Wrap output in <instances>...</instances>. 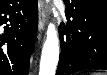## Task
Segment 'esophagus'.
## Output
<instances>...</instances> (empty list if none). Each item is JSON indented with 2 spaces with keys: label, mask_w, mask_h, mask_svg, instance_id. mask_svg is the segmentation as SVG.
Returning <instances> with one entry per match:
<instances>
[{
  "label": "esophagus",
  "mask_w": 107,
  "mask_h": 75,
  "mask_svg": "<svg viewBox=\"0 0 107 75\" xmlns=\"http://www.w3.org/2000/svg\"><path fill=\"white\" fill-rule=\"evenodd\" d=\"M38 16H39V36L38 37L40 38L41 33L43 32L47 21L46 8L42 0H39V3H38Z\"/></svg>",
  "instance_id": "1"
}]
</instances>
